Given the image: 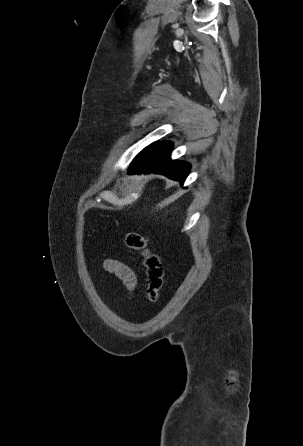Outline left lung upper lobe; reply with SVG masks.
<instances>
[{
    "instance_id": "5c2ea615",
    "label": "left lung upper lobe",
    "mask_w": 303,
    "mask_h": 446,
    "mask_svg": "<svg viewBox=\"0 0 303 446\" xmlns=\"http://www.w3.org/2000/svg\"><path fill=\"white\" fill-rule=\"evenodd\" d=\"M155 143L150 144L149 146H147L146 148H144L139 154H141L142 152H144L145 150H147L148 148H150L151 146H153ZM138 154V155H139Z\"/></svg>"
}]
</instances>
